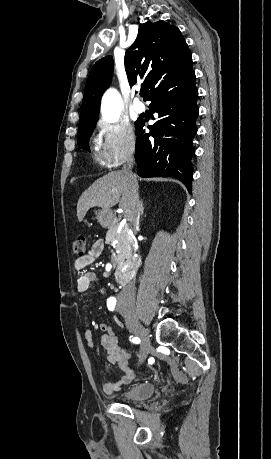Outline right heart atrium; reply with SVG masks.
Instances as JSON below:
<instances>
[{"label": "right heart atrium", "instance_id": "d8ad5b80", "mask_svg": "<svg viewBox=\"0 0 271 459\" xmlns=\"http://www.w3.org/2000/svg\"><path fill=\"white\" fill-rule=\"evenodd\" d=\"M93 140L97 149V160L106 168L120 165L135 148L134 131L128 123L107 125L100 120Z\"/></svg>", "mask_w": 271, "mask_h": 459}]
</instances>
